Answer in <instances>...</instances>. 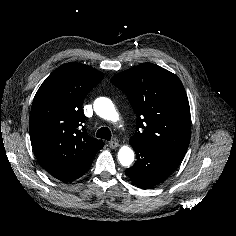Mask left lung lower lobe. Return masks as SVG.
Segmentation results:
<instances>
[{
    "mask_svg": "<svg viewBox=\"0 0 236 236\" xmlns=\"http://www.w3.org/2000/svg\"><path fill=\"white\" fill-rule=\"evenodd\" d=\"M137 155L135 164L126 170L131 181L142 189L163 182L178 166L181 157L152 147L131 144Z\"/></svg>",
    "mask_w": 236,
    "mask_h": 236,
    "instance_id": "1",
    "label": "left lung lower lobe"
}]
</instances>
